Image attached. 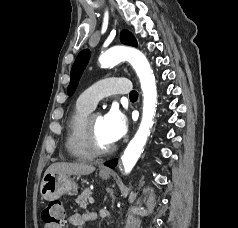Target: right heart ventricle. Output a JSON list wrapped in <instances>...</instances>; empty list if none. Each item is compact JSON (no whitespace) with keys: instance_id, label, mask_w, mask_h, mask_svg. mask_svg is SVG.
I'll list each match as a JSON object with an SVG mask.
<instances>
[{"instance_id":"1","label":"right heart ventricle","mask_w":238,"mask_h":228,"mask_svg":"<svg viewBox=\"0 0 238 228\" xmlns=\"http://www.w3.org/2000/svg\"><path fill=\"white\" fill-rule=\"evenodd\" d=\"M91 110L92 108L78 98L66 123V150L71 157L81 161L93 158L85 141V124Z\"/></svg>"}]
</instances>
